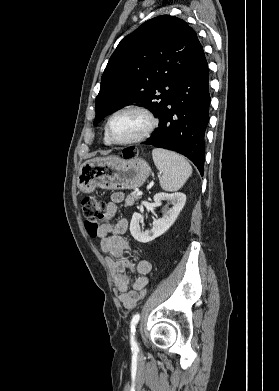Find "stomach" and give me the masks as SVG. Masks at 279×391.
<instances>
[{
	"instance_id": "0dacf381",
	"label": "stomach",
	"mask_w": 279,
	"mask_h": 391,
	"mask_svg": "<svg viewBox=\"0 0 279 391\" xmlns=\"http://www.w3.org/2000/svg\"><path fill=\"white\" fill-rule=\"evenodd\" d=\"M150 172L149 164L141 158H94L81 164L77 186L84 193H91L97 187L106 190L135 189L142 186Z\"/></svg>"
}]
</instances>
